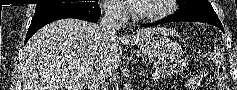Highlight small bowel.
I'll list each match as a JSON object with an SVG mask.
<instances>
[{"label": "small bowel", "mask_w": 237, "mask_h": 90, "mask_svg": "<svg viewBox=\"0 0 237 90\" xmlns=\"http://www.w3.org/2000/svg\"><path fill=\"white\" fill-rule=\"evenodd\" d=\"M205 76V73H200L199 75L194 76L188 83V86L190 88H195L196 86H198L199 82L201 81V79Z\"/></svg>", "instance_id": "small-bowel-1"}]
</instances>
